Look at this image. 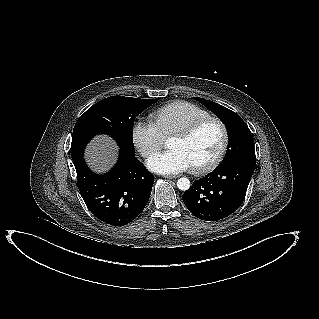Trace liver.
<instances>
[{
	"instance_id": "liver-1",
	"label": "liver",
	"mask_w": 319,
	"mask_h": 319,
	"mask_svg": "<svg viewBox=\"0 0 319 319\" xmlns=\"http://www.w3.org/2000/svg\"><path fill=\"white\" fill-rule=\"evenodd\" d=\"M117 144L108 136L95 137L86 149L88 165L97 172H104L114 165L117 159Z\"/></svg>"
}]
</instances>
